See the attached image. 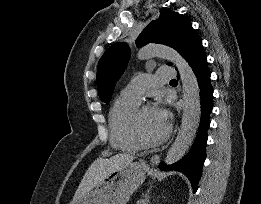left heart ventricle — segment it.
Wrapping results in <instances>:
<instances>
[{
    "label": "left heart ventricle",
    "mask_w": 261,
    "mask_h": 204,
    "mask_svg": "<svg viewBox=\"0 0 261 204\" xmlns=\"http://www.w3.org/2000/svg\"><path fill=\"white\" fill-rule=\"evenodd\" d=\"M166 128L167 124L161 121L154 107H150L142 113L141 129L148 139L154 140L161 137Z\"/></svg>",
    "instance_id": "obj_1"
}]
</instances>
